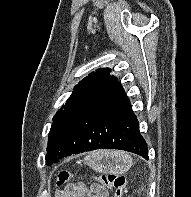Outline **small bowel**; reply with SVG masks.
<instances>
[{
  "mask_svg": "<svg viewBox=\"0 0 191 197\" xmlns=\"http://www.w3.org/2000/svg\"><path fill=\"white\" fill-rule=\"evenodd\" d=\"M55 197H108V192L100 185L88 187L78 183L66 185L56 192Z\"/></svg>",
  "mask_w": 191,
  "mask_h": 197,
  "instance_id": "c3829d8e",
  "label": "small bowel"
}]
</instances>
